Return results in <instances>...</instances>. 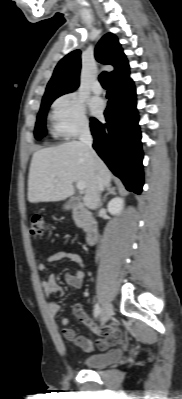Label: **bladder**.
I'll return each mask as SVG.
<instances>
[{
    "instance_id": "bladder-1",
    "label": "bladder",
    "mask_w": 182,
    "mask_h": 399,
    "mask_svg": "<svg viewBox=\"0 0 182 399\" xmlns=\"http://www.w3.org/2000/svg\"><path fill=\"white\" fill-rule=\"evenodd\" d=\"M123 353V350L118 348L106 353L93 354L83 358L82 363L87 368H102L121 359Z\"/></svg>"
}]
</instances>
